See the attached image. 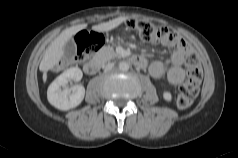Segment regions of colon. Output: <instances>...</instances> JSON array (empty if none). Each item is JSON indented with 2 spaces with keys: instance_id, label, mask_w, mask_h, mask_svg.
<instances>
[{
  "instance_id": "obj_1",
  "label": "colon",
  "mask_w": 238,
  "mask_h": 158,
  "mask_svg": "<svg viewBox=\"0 0 238 158\" xmlns=\"http://www.w3.org/2000/svg\"><path fill=\"white\" fill-rule=\"evenodd\" d=\"M126 26L138 33L139 37L149 43H159L163 40L171 38L173 33L164 26L156 25L144 20L129 19L126 21ZM77 44V53L75 59L85 60L91 54L101 47L104 43V38L99 33L80 32L75 38ZM65 62H61L59 68L64 67ZM186 66L188 69V81L179 88L177 104L180 108H188L197 97L202 80V67L198 57L191 52L186 57Z\"/></svg>"
}]
</instances>
